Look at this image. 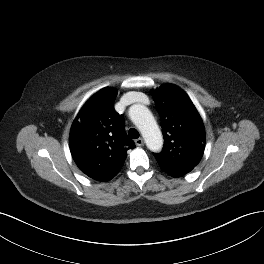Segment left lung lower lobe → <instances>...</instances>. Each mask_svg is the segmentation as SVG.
Instances as JSON below:
<instances>
[{
	"label": "left lung lower lobe",
	"mask_w": 264,
	"mask_h": 264,
	"mask_svg": "<svg viewBox=\"0 0 264 264\" xmlns=\"http://www.w3.org/2000/svg\"><path fill=\"white\" fill-rule=\"evenodd\" d=\"M168 175L172 176V177H181L183 175H185L188 172H182V171H173V172H166Z\"/></svg>",
	"instance_id": "obj_1"
}]
</instances>
